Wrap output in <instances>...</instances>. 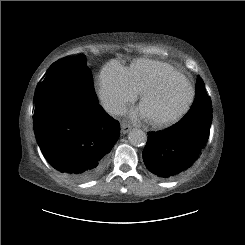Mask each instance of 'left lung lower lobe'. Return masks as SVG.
<instances>
[{"label": "left lung lower lobe", "instance_id": "0a47b994", "mask_svg": "<svg viewBox=\"0 0 245 245\" xmlns=\"http://www.w3.org/2000/svg\"><path fill=\"white\" fill-rule=\"evenodd\" d=\"M205 92L203 82L199 81L196 84V98L200 99L197 105L201 104L203 109L210 110L209 97ZM207 102L209 105H205ZM204 117L206 119L202 122H178L163 131L149 132V140L143 152L148 170L160 178L171 179L192 167L202 155L209 139L211 116Z\"/></svg>", "mask_w": 245, "mask_h": 245}]
</instances>
